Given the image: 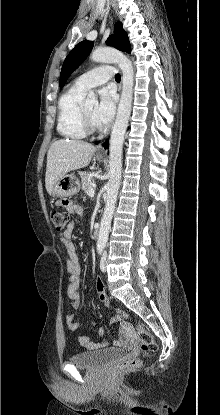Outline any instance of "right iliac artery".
<instances>
[{"instance_id": "82829eb1", "label": "right iliac artery", "mask_w": 220, "mask_h": 415, "mask_svg": "<svg viewBox=\"0 0 220 415\" xmlns=\"http://www.w3.org/2000/svg\"><path fill=\"white\" fill-rule=\"evenodd\" d=\"M103 249H104V246H103V245H98V246H97V251H98V253H99L100 255L102 254Z\"/></svg>"}]
</instances>
